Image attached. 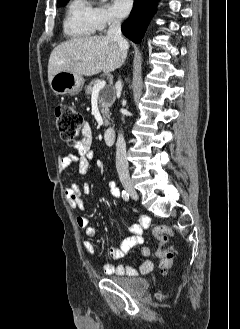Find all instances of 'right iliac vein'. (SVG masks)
I'll list each match as a JSON object with an SVG mask.
<instances>
[{
	"instance_id": "63e3f726",
	"label": "right iliac vein",
	"mask_w": 240,
	"mask_h": 329,
	"mask_svg": "<svg viewBox=\"0 0 240 329\" xmlns=\"http://www.w3.org/2000/svg\"><path fill=\"white\" fill-rule=\"evenodd\" d=\"M120 180H121V183H122L123 187L129 193V195L133 199L137 200L138 199V195H137V192L135 191V189L133 187V184H132L130 178L127 177V176H121L120 177Z\"/></svg>"
}]
</instances>
